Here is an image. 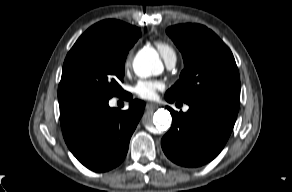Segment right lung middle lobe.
<instances>
[{
    "label": "right lung middle lobe",
    "mask_w": 292,
    "mask_h": 192,
    "mask_svg": "<svg viewBox=\"0 0 292 192\" xmlns=\"http://www.w3.org/2000/svg\"><path fill=\"white\" fill-rule=\"evenodd\" d=\"M136 41L117 43L107 36L102 26H91L76 41L64 61L58 93L78 90L105 98L120 96L124 62Z\"/></svg>",
    "instance_id": "dd1d6c3e"
}]
</instances>
